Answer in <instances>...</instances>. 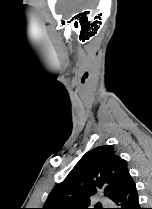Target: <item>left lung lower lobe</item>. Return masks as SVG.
Segmentation results:
<instances>
[{"label": "left lung lower lobe", "mask_w": 152, "mask_h": 209, "mask_svg": "<svg viewBox=\"0 0 152 209\" xmlns=\"http://www.w3.org/2000/svg\"><path fill=\"white\" fill-rule=\"evenodd\" d=\"M115 209H141L135 182L130 176L121 191L112 199Z\"/></svg>", "instance_id": "1"}]
</instances>
